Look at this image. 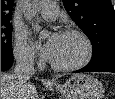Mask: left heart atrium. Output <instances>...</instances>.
I'll use <instances>...</instances> for the list:
<instances>
[{
	"label": "left heart atrium",
	"mask_w": 115,
	"mask_h": 99,
	"mask_svg": "<svg viewBox=\"0 0 115 99\" xmlns=\"http://www.w3.org/2000/svg\"><path fill=\"white\" fill-rule=\"evenodd\" d=\"M62 34L54 33L50 36L47 42L42 47L41 51L45 58L51 60L55 54L58 44L61 40Z\"/></svg>",
	"instance_id": "39dd6f15"
}]
</instances>
